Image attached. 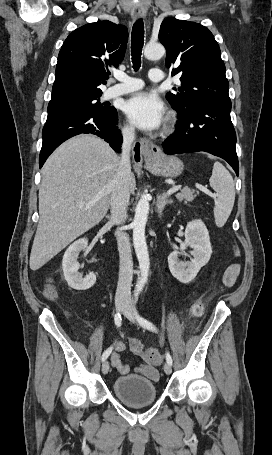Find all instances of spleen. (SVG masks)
<instances>
[{
  "label": "spleen",
  "instance_id": "spleen-1",
  "mask_svg": "<svg viewBox=\"0 0 272 455\" xmlns=\"http://www.w3.org/2000/svg\"><path fill=\"white\" fill-rule=\"evenodd\" d=\"M209 182L218 195L214 207L215 223L218 227H222L233 209L235 201L234 181L229 171L220 162H215Z\"/></svg>",
  "mask_w": 272,
  "mask_h": 455
}]
</instances>
